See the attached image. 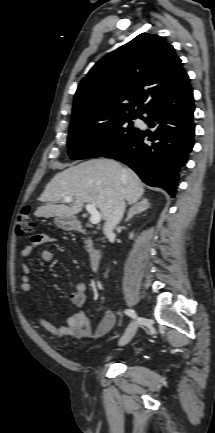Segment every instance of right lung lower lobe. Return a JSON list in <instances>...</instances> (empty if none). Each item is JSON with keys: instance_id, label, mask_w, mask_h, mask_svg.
I'll use <instances>...</instances> for the list:
<instances>
[{"instance_id": "obj_1", "label": "right lung lower lobe", "mask_w": 215, "mask_h": 433, "mask_svg": "<svg viewBox=\"0 0 215 433\" xmlns=\"http://www.w3.org/2000/svg\"><path fill=\"white\" fill-rule=\"evenodd\" d=\"M193 91L189 82L151 104L141 117L156 130L140 131L126 144L105 155L132 168L148 185L176 192L178 172L194 145ZM145 140L152 141L147 145Z\"/></svg>"}]
</instances>
